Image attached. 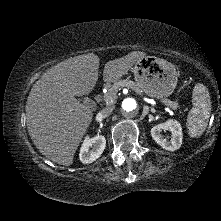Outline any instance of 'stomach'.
I'll use <instances>...</instances> for the list:
<instances>
[{
    "label": "stomach",
    "instance_id": "1",
    "mask_svg": "<svg viewBox=\"0 0 221 221\" xmlns=\"http://www.w3.org/2000/svg\"><path fill=\"white\" fill-rule=\"evenodd\" d=\"M136 84L150 97L161 99L170 96L178 80L175 66L156 56H145L135 63Z\"/></svg>",
    "mask_w": 221,
    "mask_h": 221
}]
</instances>
